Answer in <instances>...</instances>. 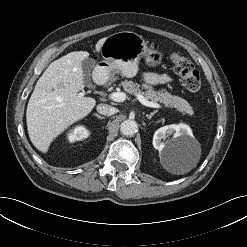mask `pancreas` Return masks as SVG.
Returning <instances> with one entry per match:
<instances>
[{"label": "pancreas", "instance_id": "obj_1", "mask_svg": "<svg viewBox=\"0 0 247 247\" xmlns=\"http://www.w3.org/2000/svg\"><path fill=\"white\" fill-rule=\"evenodd\" d=\"M123 89L130 94H141L146 99L151 100L152 102H160L163 103L166 107L175 108L177 111L182 114L193 115L194 111L190 104L183 98L175 95H171L166 89H161L159 91L147 90L143 91L140 88L138 83H134L133 81L125 80L122 82Z\"/></svg>", "mask_w": 247, "mask_h": 247}]
</instances>
